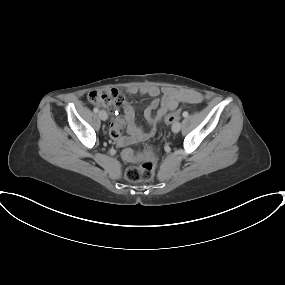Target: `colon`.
I'll return each mask as SVG.
<instances>
[{"label":"colon","mask_w":285,"mask_h":285,"mask_svg":"<svg viewBox=\"0 0 285 285\" xmlns=\"http://www.w3.org/2000/svg\"><path fill=\"white\" fill-rule=\"evenodd\" d=\"M89 101L95 105L101 106L108 111H114L120 104V96L115 90L92 91L89 94ZM180 116V112L168 114L166 123L171 124ZM117 137L119 133H111ZM122 157L130 162H137V165L126 169L125 176L131 182L149 181L154 176V170L157 162L156 152L151 148L132 149L126 148L122 152Z\"/></svg>","instance_id":"colon-1"}]
</instances>
